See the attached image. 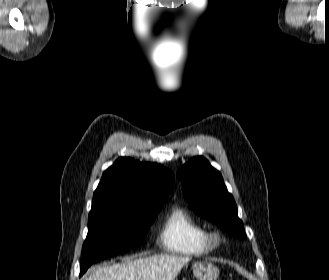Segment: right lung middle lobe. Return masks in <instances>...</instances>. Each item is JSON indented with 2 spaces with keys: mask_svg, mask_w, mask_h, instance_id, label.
Instances as JSON below:
<instances>
[{
  "mask_svg": "<svg viewBox=\"0 0 329 280\" xmlns=\"http://www.w3.org/2000/svg\"><path fill=\"white\" fill-rule=\"evenodd\" d=\"M165 200L144 204L109 201L92 207L82 247L80 276L92 263L139 246Z\"/></svg>",
  "mask_w": 329,
  "mask_h": 280,
  "instance_id": "dd1d6c3e",
  "label": "right lung middle lobe"
}]
</instances>
